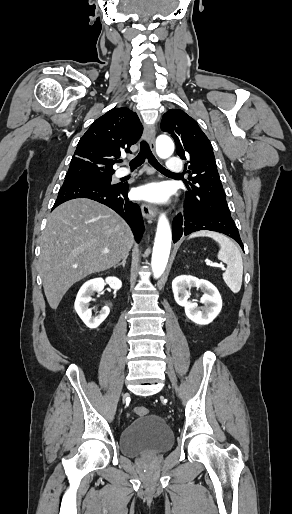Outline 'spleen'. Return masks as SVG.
<instances>
[{"label":"spleen","instance_id":"obj_1","mask_svg":"<svg viewBox=\"0 0 292 514\" xmlns=\"http://www.w3.org/2000/svg\"><path fill=\"white\" fill-rule=\"evenodd\" d=\"M201 236L212 238V240H215V242L219 244L220 250L217 258L221 260V262H224V264H227V268L223 274V280L228 288H230L231 292L237 294V292L241 290L243 276V260L240 250H238L237 246H235L229 238L222 236V234H217V232L201 230V232L191 234L189 238H201Z\"/></svg>","mask_w":292,"mask_h":514}]
</instances>
